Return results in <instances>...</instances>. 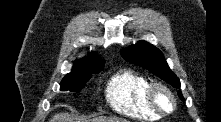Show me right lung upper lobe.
Instances as JSON below:
<instances>
[{
	"label": "right lung upper lobe",
	"instance_id": "obj_1",
	"mask_svg": "<svg viewBox=\"0 0 221 122\" xmlns=\"http://www.w3.org/2000/svg\"><path fill=\"white\" fill-rule=\"evenodd\" d=\"M104 62L94 53H90L88 57L81 60H76L72 71L67 75H77L94 71L100 67H103Z\"/></svg>",
	"mask_w": 221,
	"mask_h": 122
}]
</instances>
